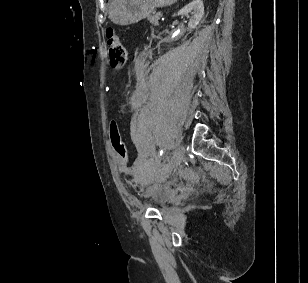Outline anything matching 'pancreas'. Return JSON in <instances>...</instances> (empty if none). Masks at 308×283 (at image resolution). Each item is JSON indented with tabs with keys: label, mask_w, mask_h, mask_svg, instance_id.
I'll list each match as a JSON object with an SVG mask.
<instances>
[{
	"label": "pancreas",
	"mask_w": 308,
	"mask_h": 283,
	"mask_svg": "<svg viewBox=\"0 0 308 283\" xmlns=\"http://www.w3.org/2000/svg\"><path fill=\"white\" fill-rule=\"evenodd\" d=\"M159 18H160L159 14L156 13L155 15L149 17V21H150L151 24L158 26Z\"/></svg>",
	"instance_id": "obj_1"
}]
</instances>
